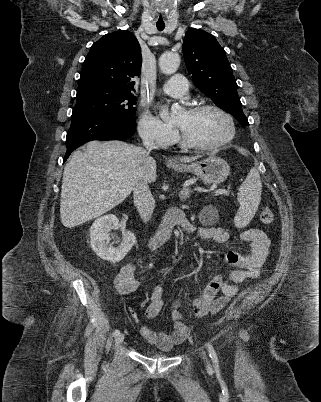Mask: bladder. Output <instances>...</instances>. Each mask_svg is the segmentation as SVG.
Instances as JSON below:
<instances>
[{
    "mask_svg": "<svg viewBox=\"0 0 321 402\" xmlns=\"http://www.w3.org/2000/svg\"><path fill=\"white\" fill-rule=\"evenodd\" d=\"M150 354H152L154 356H162V357H166L169 355V353H161V352H156V351H150Z\"/></svg>",
    "mask_w": 321,
    "mask_h": 402,
    "instance_id": "bladder-1",
    "label": "bladder"
}]
</instances>
